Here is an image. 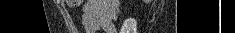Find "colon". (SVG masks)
<instances>
[{"label":"colon","mask_w":235,"mask_h":33,"mask_svg":"<svg viewBox=\"0 0 235 33\" xmlns=\"http://www.w3.org/2000/svg\"><path fill=\"white\" fill-rule=\"evenodd\" d=\"M70 5L77 6L81 4V0H69ZM123 33H135V23L133 20H127L123 26Z\"/></svg>","instance_id":"5ec220e1"}]
</instances>
